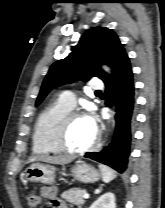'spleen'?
Wrapping results in <instances>:
<instances>
[{
  "mask_svg": "<svg viewBox=\"0 0 165 208\" xmlns=\"http://www.w3.org/2000/svg\"><path fill=\"white\" fill-rule=\"evenodd\" d=\"M104 183H109L116 177V172L105 165H99Z\"/></svg>",
  "mask_w": 165,
  "mask_h": 208,
  "instance_id": "obj_1",
  "label": "spleen"
}]
</instances>
